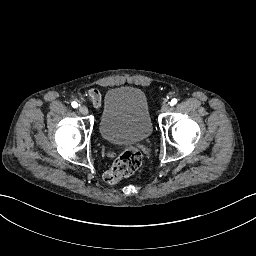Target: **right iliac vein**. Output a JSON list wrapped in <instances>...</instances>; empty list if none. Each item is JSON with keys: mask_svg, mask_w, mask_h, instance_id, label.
I'll use <instances>...</instances> for the list:
<instances>
[{"mask_svg": "<svg viewBox=\"0 0 256 256\" xmlns=\"http://www.w3.org/2000/svg\"><path fill=\"white\" fill-rule=\"evenodd\" d=\"M79 112L82 114V115H87L89 113L88 109L86 106L82 105L79 107Z\"/></svg>", "mask_w": 256, "mask_h": 256, "instance_id": "right-iliac-vein-1", "label": "right iliac vein"}]
</instances>
